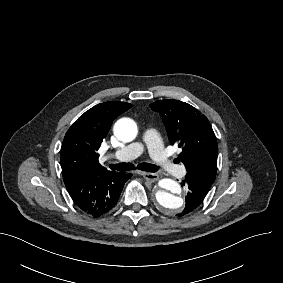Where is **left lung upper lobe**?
I'll return each mask as SVG.
<instances>
[{
  "instance_id": "left-lung-upper-lobe-1",
  "label": "left lung upper lobe",
  "mask_w": 283,
  "mask_h": 283,
  "mask_svg": "<svg viewBox=\"0 0 283 283\" xmlns=\"http://www.w3.org/2000/svg\"><path fill=\"white\" fill-rule=\"evenodd\" d=\"M150 107L162 116L169 141L182 148L180 159L187 172L216 176L218 146L208 119L179 100H158Z\"/></svg>"
}]
</instances>
